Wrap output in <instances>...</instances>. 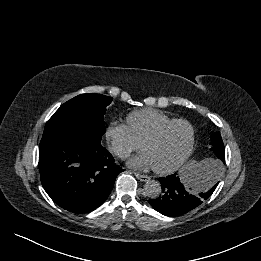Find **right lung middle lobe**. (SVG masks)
Masks as SVG:
<instances>
[{"label":"right lung middle lobe","mask_w":261,"mask_h":261,"mask_svg":"<svg viewBox=\"0 0 261 261\" xmlns=\"http://www.w3.org/2000/svg\"><path fill=\"white\" fill-rule=\"evenodd\" d=\"M112 99L101 94H81L74 97L60 106L48 120L42 138L81 129L94 130L103 135L105 133L103 116Z\"/></svg>","instance_id":"right-lung-middle-lobe-1"}]
</instances>
